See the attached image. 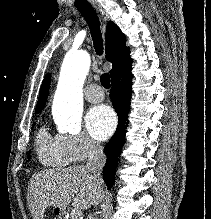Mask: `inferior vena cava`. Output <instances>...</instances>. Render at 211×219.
<instances>
[{"mask_svg":"<svg viewBox=\"0 0 211 219\" xmlns=\"http://www.w3.org/2000/svg\"><path fill=\"white\" fill-rule=\"evenodd\" d=\"M106 162V156L104 155L103 148L99 143L90 142L88 150V161L86 164L87 170L91 173L95 182V187L100 189L103 184L101 172ZM97 204V203H96ZM87 219H93L91 214Z\"/></svg>","mask_w":211,"mask_h":219,"instance_id":"obj_1","label":"inferior vena cava"}]
</instances>
